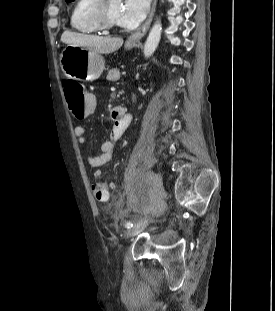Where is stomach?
<instances>
[{
	"instance_id": "0dacf381",
	"label": "stomach",
	"mask_w": 275,
	"mask_h": 311,
	"mask_svg": "<svg viewBox=\"0 0 275 311\" xmlns=\"http://www.w3.org/2000/svg\"><path fill=\"white\" fill-rule=\"evenodd\" d=\"M134 45H125L130 50ZM60 63L64 74L73 79L94 81L105 69L103 56L89 48L68 45L60 55Z\"/></svg>"
}]
</instances>
